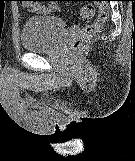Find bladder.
<instances>
[{
  "instance_id": "31cf9c89",
  "label": "bladder",
  "mask_w": 135,
  "mask_h": 161,
  "mask_svg": "<svg viewBox=\"0 0 135 161\" xmlns=\"http://www.w3.org/2000/svg\"><path fill=\"white\" fill-rule=\"evenodd\" d=\"M65 30L66 24L61 17H30L22 31L23 46L26 50L32 52L52 49Z\"/></svg>"
}]
</instances>
